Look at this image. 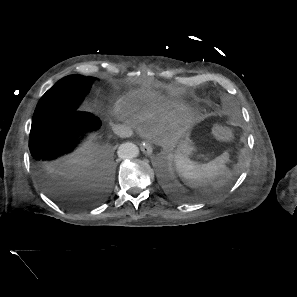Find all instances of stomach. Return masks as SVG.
Instances as JSON below:
<instances>
[{
  "instance_id": "stomach-1",
  "label": "stomach",
  "mask_w": 297,
  "mask_h": 297,
  "mask_svg": "<svg viewBox=\"0 0 297 297\" xmlns=\"http://www.w3.org/2000/svg\"><path fill=\"white\" fill-rule=\"evenodd\" d=\"M195 150L192 141L189 137L182 139L177 148V156L188 157Z\"/></svg>"
}]
</instances>
